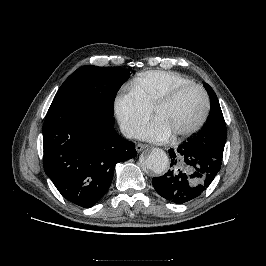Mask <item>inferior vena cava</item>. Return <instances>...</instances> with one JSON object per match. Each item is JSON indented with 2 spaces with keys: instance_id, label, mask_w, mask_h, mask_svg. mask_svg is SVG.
I'll use <instances>...</instances> for the list:
<instances>
[{
  "instance_id": "obj_1",
  "label": "inferior vena cava",
  "mask_w": 266,
  "mask_h": 266,
  "mask_svg": "<svg viewBox=\"0 0 266 266\" xmlns=\"http://www.w3.org/2000/svg\"><path fill=\"white\" fill-rule=\"evenodd\" d=\"M120 130L121 133L126 137V138H133L135 135V129L127 124H121L120 125Z\"/></svg>"
}]
</instances>
